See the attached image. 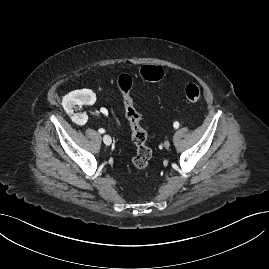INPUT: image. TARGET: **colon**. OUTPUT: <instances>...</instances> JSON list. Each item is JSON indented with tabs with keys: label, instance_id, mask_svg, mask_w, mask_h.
I'll return each instance as SVG.
<instances>
[{
	"label": "colon",
	"instance_id": "5ec220e1",
	"mask_svg": "<svg viewBox=\"0 0 269 269\" xmlns=\"http://www.w3.org/2000/svg\"><path fill=\"white\" fill-rule=\"evenodd\" d=\"M140 75L147 81H159L163 77V70L159 66H144ZM117 88L121 93L125 116L131 128L132 140L136 152L132 158V164L137 170H145L148 167L152 151L147 145V133L141 125L142 117L137 111L132 98L133 80L127 74H121L116 81ZM185 97L191 104H196L201 98L200 88L195 84L185 87Z\"/></svg>",
	"mask_w": 269,
	"mask_h": 269
}]
</instances>
